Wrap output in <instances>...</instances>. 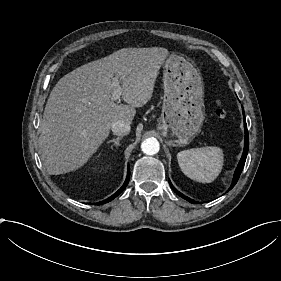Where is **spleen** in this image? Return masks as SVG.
I'll return each instance as SVG.
<instances>
[{"label":"spleen","mask_w":281,"mask_h":281,"mask_svg":"<svg viewBox=\"0 0 281 281\" xmlns=\"http://www.w3.org/2000/svg\"><path fill=\"white\" fill-rule=\"evenodd\" d=\"M177 159L182 172L202 183L214 181L223 166V151L219 147L207 146L180 151Z\"/></svg>","instance_id":"3e777b00"}]
</instances>
